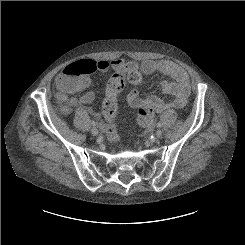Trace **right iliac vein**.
Listing matches in <instances>:
<instances>
[{"instance_id": "1", "label": "right iliac vein", "mask_w": 245, "mask_h": 245, "mask_svg": "<svg viewBox=\"0 0 245 245\" xmlns=\"http://www.w3.org/2000/svg\"><path fill=\"white\" fill-rule=\"evenodd\" d=\"M91 133H92L93 136H97L98 135V130L95 127H93L91 129Z\"/></svg>"}]
</instances>
